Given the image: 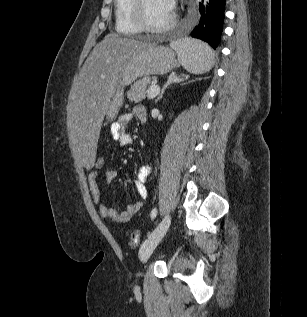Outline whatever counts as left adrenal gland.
<instances>
[{"label": "left adrenal gland", "mask_w": 307, "mask_h": 317, "mask_svg": "<svg viewBox=\"0 0 307 317\" xmlns=\"http://www.w3.org/2000/svg\"><path fill=\"white\" fill-rule=\"evenodd\" d=\"M185 79L184 75H177L175 72L171 73L166 81V83L164 84L161 93L159 94V96L157 97V99L155 100V103H157L160 99H162L165 90L172 84L175 83H179V82H183Z\"/></svg>", "instance_id": "obj_1"}]
</instances>
